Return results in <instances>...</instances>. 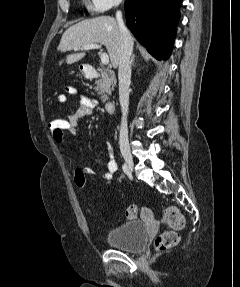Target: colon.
<instances>
[{"mask_svg":"<svg viewBox=\"0 0 240 287\" xmlns=\"http://www.w3.org/2000/svg\"><path fill=\"white\" fill-rule=\"evenodd\" d=\"M69 127L67 118L59 117L49 122V128L54 138L62 139ZM74 181L77 187L84 188L86 186V178L82 171L76 170ZM138 209L135 205H130L125 210L127 220L137 218ZM164 220L167 222L170 230L161 233L154 242V248L158 252L166 251L175 247L179 243V235L177 230L183 228L185 220L179 209L175 206H168L164 209Z\"/></svg>","mask_w":240,"mask_h":287,"instance_id":"5ec220e1","label":"colon"}]
</instances>
